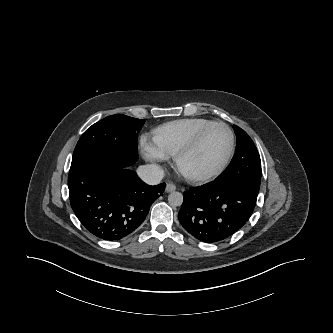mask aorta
I'll return each mask as SVG.
<instances>
[{
    "mask_svg": "<svg viewBox=\"0 0 333 333\" xmlns=\"http://www.w3.org/2000/svg\"><path fill=\"white\" fill-rule=\"evenodd\" d=\"M168 202L171 206H180L183 203V195L180 192H172L168 196Z\"/></svg>",
    "mask_w": 333,
    "mask_h": 333,
    "instance_id": "1",
    "label": "aorta"
}]
</instances>
